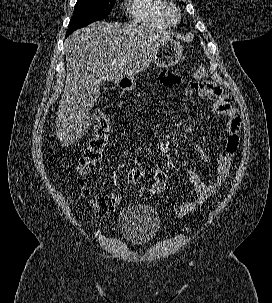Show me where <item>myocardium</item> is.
<instances>
[{"label":"myocardium","mask_w":272,"mask_h":303,"mask_svg":"<svg viewBox=\"0 0 272 303\" xmlns=\"http://www.w3.org/2000/svg\"><path fill=\"white\" fill-rule=\"evenodd\" d=\"M165 17L170 24H177L180 21L181 14L175 5L169 4L166 7Z\"/></svg>","instance_id":"1"}]
</instances>
